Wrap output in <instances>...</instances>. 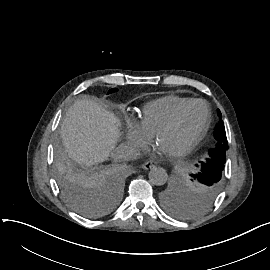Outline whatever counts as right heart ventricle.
Instances as JSON below:
<instances>
[{"label":"right heart ventricle","instance_id":"right-heart-ventricle-1","mask_svg":"<svg viewBox=\"0 0 270 270\" xmlns=\"http://www.w3.org/2000/svg\"><path fill=\"white\" fill-rule=\"evenodd\" d=\"M191 101L190 98L174 95L159 97L143 106L138 127L143 132L153 135Z\"/></svg>","mask_w":270,"mask_h":270}]
</instances>
